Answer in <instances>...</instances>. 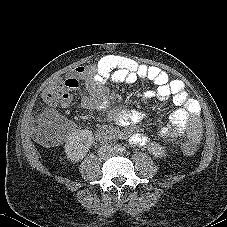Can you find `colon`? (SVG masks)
<instances>
[{"instance_id": "colon-1", "label": "colon", "mask_w": 227, "mask_h": 227, "mask_svg": "<svg viewBox=\"0 0 227 227\" xmlns=\"http://www.w3.org/2000/svg\"><path fill=\"white\" fill-rule=\"evenodd\" d=\"M62 81H54L49 84L41 94L43 103L48 106H57L62 102L63 94ZM69 126L66 121L61 118H51L46 123H43L38 130V141L41 145L50 147L60 144L67 136ZM181 153L187 156L195 155V146L191 143H186L181 148Z\"/></svg>"}]
</instances>
